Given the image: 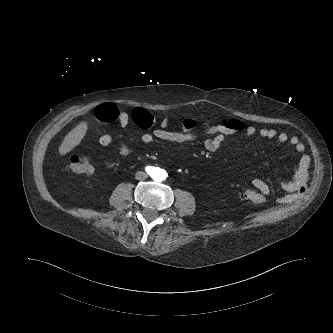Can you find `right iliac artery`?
<instances>
[{
    "label": "right iliac artery",
    "mask_w": 333,
    "mask_h": 333,
    "mask_svg": "<svg viewBox=\"0 0 333 333\" xmlns=\"http://www.w3.org/2000/svg\"><path fill=\"white\" fill-rule=\"evenodd\" d=\"M146 169L149 171V170H151V169H152V167L148 166Z\"/></svg>",
    "instance_id": "obj_1"
}]
</instances>
